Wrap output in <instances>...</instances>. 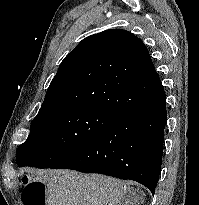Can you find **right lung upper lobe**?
<instances>
[{"instance_id":"cb5924a9","label":"right lung upper lobe","mask_w":199,"mask_h":205,"mask_svg":"<svg viewBox=\"0 0 199 205\" xmlns=\"http://www.w3.org/2000/svg\"><path fill=\"white\" fill-rule=\"evenodd\" d=\"M157 78L145 44L109 29L83 39L64 58L39 111L83 105L118 116L144 97L132 84Z\"/></svg>"}]
</instances>
